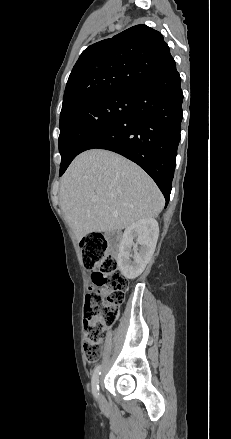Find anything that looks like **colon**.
Masks as SVG:
<instances>
[{"label":"colon","mask_w":231,"mask_h":439,"mask_svg":"<svg viewBox=\"0 0 231 439\" xmlns=\"http://www.w3.org/2000/svg\"><path fill=\"white\" fill-rule=\"evenodd\" d=\"M80 247L84 266L92 271L95 285L85 297L84 353L89 362H96L101 355L103 336L114 323L124 300L128 280L119 271L117 260L103 235L88 234Z\"/></svg>","instance_id":"1"}]
</instances>
